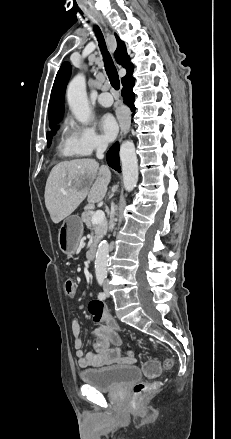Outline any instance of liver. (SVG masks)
I'll use <instances>...</instances> for the list:
<instances>
[{
	"instance_id": "6515ba94",
	"label": "liver",
	"mask_w": 231,
	"mask_h": 439,
	"mask_svg": "<svg viewBox=\"0 0 231 439\" xmlns=\"http://www.w3.org/2000/svg\"><path fill=\"white\" fill-rule=\"evenodd\" d=\"M111 172L90 158L63 161L51 170L45 187V205L53 223L72 214L87 197L90 204L106 195Z\"/></svg>"
}]
</instances>
